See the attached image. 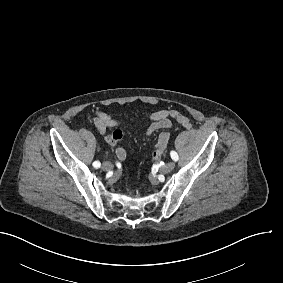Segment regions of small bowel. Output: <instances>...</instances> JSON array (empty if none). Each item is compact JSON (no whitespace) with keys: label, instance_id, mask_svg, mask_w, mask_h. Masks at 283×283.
I'll return each mask as SVG.
<instances>
[{"label":"small bowel","instance_id":"small-bowel-1","mask_svg":"<svg viewBox=\"0 0 283 283\" xmlns=\"http://www.w3.org/2000/svg\"><path fill=\"white\" fill-rule=\"evenodd\" d=\"M93 123L101 134H105L108 129L115 130L105 135V141L111 147H115V153L120 161L126 159V150L122 147H117L119 141L123 138L124 132L121 129V122L116 120L110 114L97 109L94 112ZM174 123H179L186 128L191 127V122L188 117L181 114L177 110H159L149 115V124L145 130L146 135H151L157 132L162 127L171 128Z\"/></svg>","mask_w":283,"mask_h":283}]
</instances>
